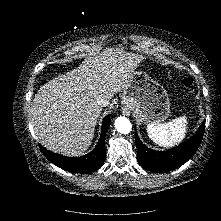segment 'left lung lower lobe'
<instances>
[{
	"label": "left lung lower lobe",
	"mask_w": 221,
	"mask_h": 221,
	"mask_svg": "<svg viewBox=\"0 0 221 221\" xmlns=\"http://www.w3.org/2000/svg\"><path fill=\"white\" fill-rule=\"evenodd\" d=\"M205 124L202 123L197 133L185 143L166 151H155L146 147L135 137L137 160L145 169L153 172L172 170L190 159L198 149L204 135Z\"/></svg>",
	"instance_id": "1"
}]
</instances>
